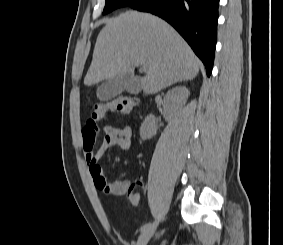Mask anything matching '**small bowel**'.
I'll use <instances>...</instances> for the list:
<instances>
[{
  "instance_id": "obj_1",
  "label": "small bowel",
  "mask_w": 283,
  "mask_h": 245,
  "mask_svg": "<svg viewBox=\"0 0 283 245\" xmlns=\"http://www.w3.org/2000/svg\"><path fill=\"white\" fill-rule=\"evenodd\" d=\"M99 131L98 121L88 119L81 133L85 160L89 166L94 185L106 195H125L130 186L129 182L127 180L107 181L100 160L109 147L116 146L122 150L130 149L133 130L129 125H121L119 127L104 126L101 129L103 132L102 144L97 151H94L96 137Z\"/></svg>"
}]
</instances>
